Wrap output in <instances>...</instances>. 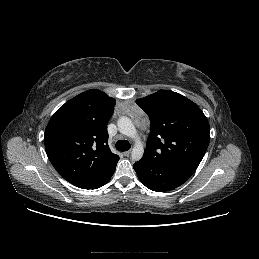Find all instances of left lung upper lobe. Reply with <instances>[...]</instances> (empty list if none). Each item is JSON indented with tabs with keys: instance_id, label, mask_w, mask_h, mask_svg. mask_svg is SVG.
Instances as JSON below:
<instances>
[{
	"instance_id": "obj_1",
	"label": "left lung upper lobe",
	"mask_w": 259,
	"mask_h": 259,
	"mask_svg": "<svg viewBox=\"0 0 259 259\" xmlns=\"http://www.w3.org/2000/svg\"><path fill=\"white\" fill-rule=\"evenodd\" d=\"M136 103L150 118L143 157L194 173L210 141L209 123L201 109L169 90H159Z\"/></svg>"
}]
</instances>
